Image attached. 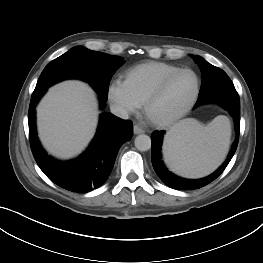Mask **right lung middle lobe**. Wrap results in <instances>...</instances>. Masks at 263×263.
<instances>
[{"instance_id": "obj_1", "label": "right lung middle lobe", "mask_w": 263, "mask_h": 263, "mask_svg": "<svg viewBox=\"0 0 263 263\" xmlns=\"http://www.w3.org/2000/svg\"><path fill=\"white\" fill-rule=\"evenodd\" d=\"M123 63L120 56H111L76 46L44 68L33 93L44 92L59 81L77 78L91 84L100 99L105 102L108 97L109 81Z\"/></svg>"}]
</instances>
